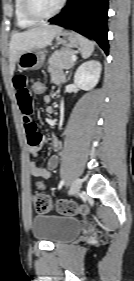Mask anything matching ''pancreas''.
<instances>
[{"label":"pancreas","mask_w":134,"mask_h":281,"mask_svg":"<svg viewBox=\"0 0 134 281\" xmlns=\"http://www.w3.org/2000/svg\"><path fill=\"white\" fill-rule=\"evenodd\" d=\"M73 55L74 51L70 48L56 50L49 58L48 71L53 75L56 70L70 69L74 65V62L71 61Z\"/></svg>","instance_id":"pancreas-1"}]
</instances>
